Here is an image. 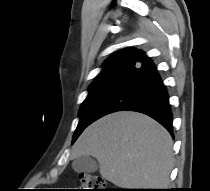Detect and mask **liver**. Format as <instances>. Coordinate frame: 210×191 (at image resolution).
<instances>
[{"label":"liver","mask_w":210,"mask_h":191,"mask_svg":"<svg viewBox=\"0 0 210 191\" xmlns=\"http://www.w3.org/2000/svg\"><path fill=\"white\" fill-rule=\"evenodd\" d=\"M93 156L103 178L118 187L163 188L173 168L172 138L152 118L121 111L92 123L76 141L71 158Z\"/></svg>","instance_id":"6515ba94"}]
</instances>
